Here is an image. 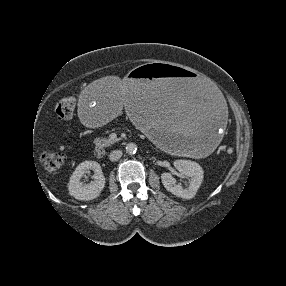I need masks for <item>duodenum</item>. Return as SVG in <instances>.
<instances>
[{
    "label": "duodenum",
    "mask_w": 286,
    "mask_h": 286,
    "mask_svg": "<svg viewBox=\"0 0 286 286\" xmlns=\"http://www.w3.org/2000/svg\"><path fill=\"white\" fill-rule=\"evenodd\" d=\"M95 155L97 158H102L104 156V150L101 148H97L95 151Z\"/></svg>",
    "instance_id": "obj_1"
}]
</instances>
